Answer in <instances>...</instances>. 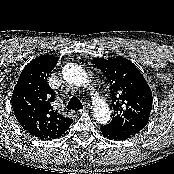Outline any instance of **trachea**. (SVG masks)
I'll return each instance as SVG.
<instances>
[{
	"label": "trachea",
	"instance_id": "obj_1",
	"mask_svg": "<svg viewBox=\"0 0 174 174\" xmlns=\"http://www.w3.org/2000/svg\"><path fill=\"white\" fill-rule=\"evenodd\" d=\"M83 104L77 97H72L70 101L68 102L67 109L72 110V109H82Z\"/></svg>",
	"mask_w": 174,
	"mask_h": 174
}]
</instances>
